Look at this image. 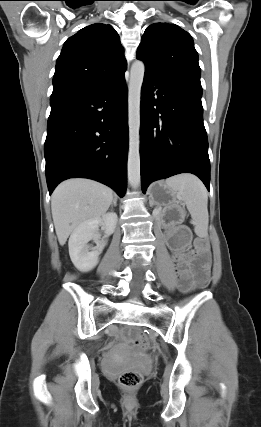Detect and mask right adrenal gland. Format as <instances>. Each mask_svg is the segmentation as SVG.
Returning <instances> with one entry per match:
<instances>
[{
  "label": "right adrenal gland",
  "instance_id": "obj_1",
  "mask_svg": "<svg viewBox=\"0 0 261 427\" xmlns=\"http://www.w3.org/2000/svg\"><path fill=\"white\" fill-rule=\"evenodd\" d=\"M113 206H114V207H116V206H117V198H114V199H113V201H112V203H111V208H112Z\"/></svg>",
  "mask_w": 261,
  "mask_h": 427
}]
</instances>
